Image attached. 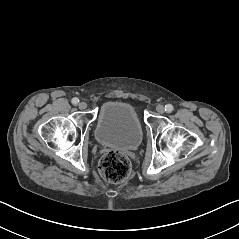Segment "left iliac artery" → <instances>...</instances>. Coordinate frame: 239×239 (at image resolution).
Listing matches in <instances>:
<instances>
[{
	"label": "left iliac artery",
	"mask_w": 239,
	"mask_h": 239,
	"mask_svg": "<svg viewBox=\"0 0 239 239\" xmlns=\"http://www.w3.org/2000/svg\"><path fill=\"white\" fill-rule=\"evenodd\" d=\"M165 111H166L167 113H171V112L173 111V106H172L171 104H167V105L165 106Z\"/></svg>",
	"instance_id": "1"
}]
</instances>
